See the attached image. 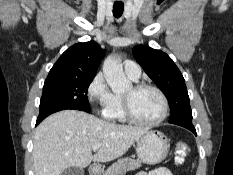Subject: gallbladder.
<instances>
[{"instance_id":"1","label":"gallbladder","mask_w":233,"mask_h":175,"mask_svg":"<svg viewBox=\"0 0 233 175\" xmlns=\"http://www.w3.org/2000/svg\"><path fill=\"white\" fill-rule=\"evenodd\" d=\"M62 175H84L83 168L70 167L63 171Z\"/></svg>"}]
</instances>
